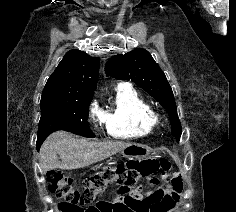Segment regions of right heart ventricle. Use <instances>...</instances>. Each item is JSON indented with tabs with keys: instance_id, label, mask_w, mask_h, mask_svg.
<instances>
[{
	"instance_id": "1",
	"label": "right heart ventricle",
	"mask_w": 236,
	"mask_h": 212,
	"mask_svg": "<svg viewBox=\"0 0 236 212\" xmlns=\"http://www.w3.org/2000/svg\"><path fill=\"white\" fill-rule=\"evenodd\" d=\"M151 111V105L136 89L119 84L115 87L113 106L102 113L105 129L109 136L117 139L149 135L155 125L150 118Z\"/></svg>"
}]
</instances>
